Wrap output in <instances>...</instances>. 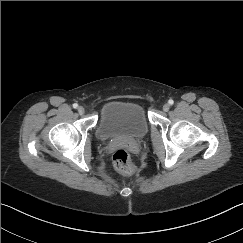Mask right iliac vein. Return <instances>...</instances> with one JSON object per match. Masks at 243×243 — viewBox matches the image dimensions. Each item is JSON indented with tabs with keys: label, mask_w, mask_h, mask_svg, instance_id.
<instances>
[{
	"label": "right iliac vein",
	"mask_w": 243,
	"mask_h": 243,
	"mask_svg": "<svg viewBox=\"0 0 243 243\" xmlns=\"http://www.w3.org/2000/svg\"><path fill=\"white\" fill-rule=\"evenodd\" d=\"M77 110H78L79 114H83L85 112V110L82 106H79Z\"/></svg>",
	"instance_id": "1"
}]
</instances>
